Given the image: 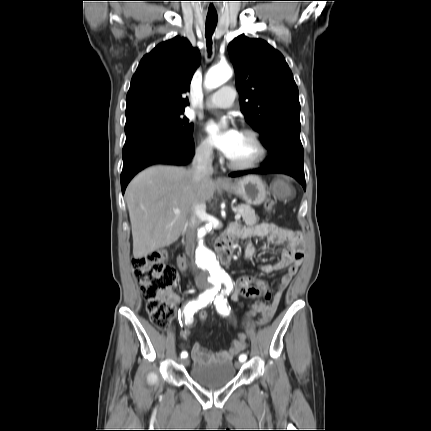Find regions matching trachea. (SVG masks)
I'll return each instance as SVG.
<instances>
[{
  "mask_svg": "<svg viewBox=\"0 0 431 431\" xmlns=\"http://www.w3.org/2000/svg\"><path fill=\"white\" fill-rule=\"evenodd\" d=\"M217 21L218 18L217 17H207L206 18V39H207V46H208V51H211V44H212V40H211V35L213 34L215 27L217 25Z\"/></svg>",
  "mask_w": 431,
  "mask_h": 431,
  "instance_id": "3493384b",
  "label": "trachea"
}]
</instances>
